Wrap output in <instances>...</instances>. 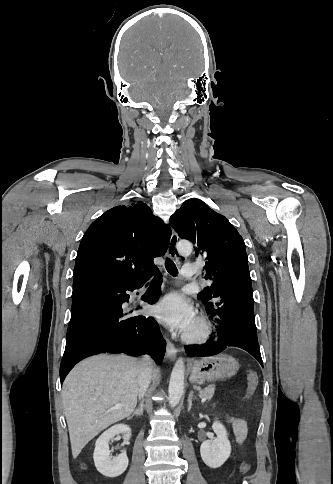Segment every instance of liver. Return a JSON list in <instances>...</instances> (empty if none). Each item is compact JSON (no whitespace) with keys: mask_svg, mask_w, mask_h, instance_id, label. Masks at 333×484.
<instances>
[{"mask_svg":"<svg viewBox=\"0 0 333 484\" xmlns=\"http://www.w3.org/2000/svg\"><path fill=\"white\" fill-rule=\"evenodd\" d=\"M138 363L129 356L101 354L67 375L62 399L74 459L102 430L132 414L139 393Z\"/></svg>","mask_w":333,"mask_h":484,"instance_id":"6515ba94","label":"liver"}]
</instances>
